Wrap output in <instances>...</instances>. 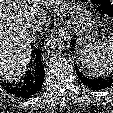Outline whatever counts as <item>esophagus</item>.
<instances>
[{
    "instance_id": "34e87169",
    "label": "esophagus",
    "mask_w": 113,
    "mask_h": 113,
    "mask_svg": "<svg viewBox=\"0 0 113 113\" xmlns=\"http://www.w3.org/2000/svg\"><path fill=\"white\" fill-rule=\"evenodd\" d=\"M57 33L61 38H63L66 41H69L71 39L68 28L65 25L58 27L57 28Z\"/></svg>"
}]
</instances>
